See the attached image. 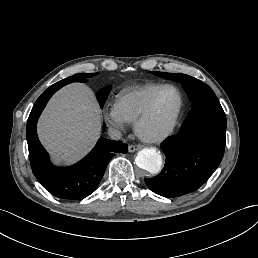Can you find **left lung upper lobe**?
<instances>
[{"label":"left lung upper lobe","mask_w":258,"mask_h":258,"mask_svg":"<svg viewBox=\"0 0 258 258\" xmlns=\"http://www.w3.org/2000/svg\"><path fill=\"white\" fill-rule=\"evenodd\" d=\"M162 78L180 82L192 102L181 131H187L201 124H213L226 128V116L212 89L204 82L186 74L152 72Z\"/></svg>","instance_id":"1"}]
</instances>
